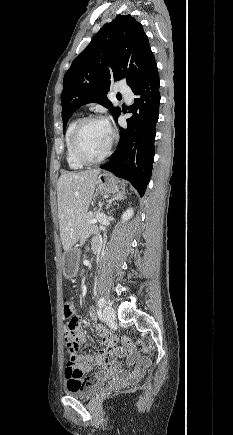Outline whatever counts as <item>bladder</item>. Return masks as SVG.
<instances>
[{"instance_id":"obj_1","label":"bladder","mask_w":233,"mask_h":435,"mask_svg":"<svg viewBox=\"0 0 233 435\" xmlns=\"http://www.w3.org/2000/svg\"><path fill=\"white\" fill-rule=\"evenodd\" d=\"M102 385V382H95L88 385L86 388L79 389L75 388L73 384L68 383L66 386V394L76 398H92L95 395L96 390Z\"/></svg>"}]
</instances>
